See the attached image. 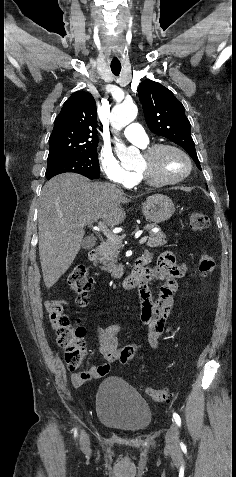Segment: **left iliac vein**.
<instances>
[{
	"label": "left iliac vein",
	"mask_w": 236,
	"mask_h": 477,
	"mask_svg": "<svg viewBox=\"0 0 236 477\" xmlns=\"http://www.w3.org/2000/svg\"><path fill=\"white\" fill-rule=\"evenodd\" d=\"M166 446L170 450H176L179 446L178 441V427L174 423L172 424L166 433Z\"/></svg>",
	"instance_id": "obj_1"
}]
</instances>
